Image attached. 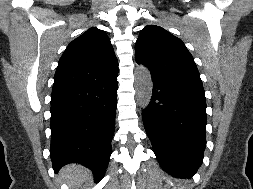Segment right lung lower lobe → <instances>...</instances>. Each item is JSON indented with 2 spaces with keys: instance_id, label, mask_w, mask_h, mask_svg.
<instances>
[{
  "instance_id": "right-lung-lower-lobe-1",
  "label": "right lung lower lobe",
  "mask_w": 253,
  "mask_h": 189,
  "mask_svg": "<svg viewBox=\"0 0 253 189\" xmlns=\"http://www.w3.org/2000/svg\"><path fill=\"white\" fill-rule=\"evenodd\" d=\"M117 76L90 84L53 85L50 155L55 172L79 163L92 170L96 182L104 176L115 129Z\"/></svg>"
}]
</instances>
